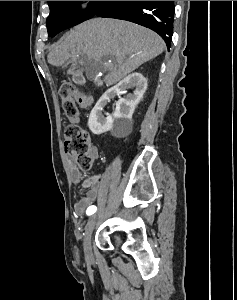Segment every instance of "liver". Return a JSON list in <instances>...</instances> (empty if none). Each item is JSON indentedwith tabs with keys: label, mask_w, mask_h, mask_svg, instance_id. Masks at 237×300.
<instances>
[{
	"label": "liver",
	"mask_w": 237,
	"mask_h": 300,
	"mask_svg": "<svg viewBox=\"0 0 237 300\" xmlns=\"http://www.w3.org/2000/svg\"><path fill=\"white\" fill-rule=\"evenodd\" d=\"M164 49L163 39L154 31L127 21L91 19L66 33L48 53L47 61L53 67H62L72 59L74 65L67 75H74L78 65L87 67L91 61H99L98 71H109L104 83L115 85L146 61L161 55ZM82 71L78 69L77 73Z\"/></svg>",
	"instance_id": "6515ba94"
}]
</instances>
